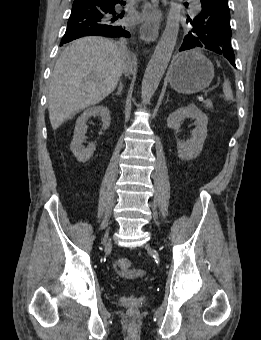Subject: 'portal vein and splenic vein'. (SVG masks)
Masks as SVG:
<instances>
[{
  "instance_id": "18ae733b",
  "label": "portal vein and splenic vein",
  "mask_w": 261,
  "mask_h": 340,
  "mask_svg": "<svg viewBox=\"0 0 261 340\" xmlns=\"http://www.w3.org/2000/svg\"><path fill=\"white\" fill-rule=\"evenodd\" d=\"M205 96H207V94H205ZM198 99H199L200 101H202V100H204V97H203V96H200V97H198Z\"/></svg>"
}]
</instances>
